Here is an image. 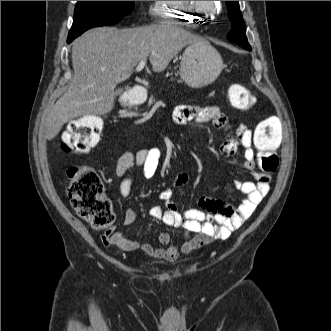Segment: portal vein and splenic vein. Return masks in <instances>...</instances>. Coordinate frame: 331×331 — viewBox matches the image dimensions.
<instances>
[{"instance_id":"18ae733b","label":"portal vein and splenic vein","mask_w":331,"mask_h":331,"mask_svg":"<svg viewBox=\"0 0 331 331\" xmlns=\"http://www.w3.org/2000/svg\"><path fill=\"white\" fill-rule=\"evenodd\" d=\"M145 63H146V58L142 59V60L139 62L138 66L136 67V71H137V72L141 71V70L144 68Z\"/></svg>"}]
</instances>
